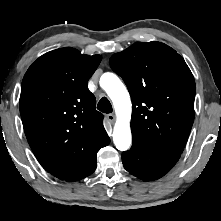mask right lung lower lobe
<instances>
[{
  "label": "right lung lower lobe",
  "mask_w": 221,
  "mask_h": 221,
  "mask_svg": "<svg viewBox=\"0 0 221 221\" xmlns=\"http://www.w3.org/2000/svg\"><path fill=\"white\" fill-rule=\"evenodd\" d=\"M110 143V139H108L105 143H103L93 154L92 156L89 158V160L72 176L68 177L67 179H64L68 182H72V181H78L81 180L87 176H89L90 174H92L97 166V152L100 148L107 146Z\"/></svg>",
  "instance_id": "right-lung-lower-lobe-1"
}]
</instances>
